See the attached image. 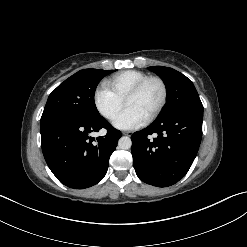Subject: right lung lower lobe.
<instances>
[{
  "mask_svg": "<svg viewBox=\"0 0 247 247\" xmlns=\"http://www.w3.org/2000/svg\"><path fill=\"white\" fill-rule=\"evenodd\" d=\"M107 129L105 136L89 137L91 132ZM42 151L48 167L64 185L83 189L105 176L109 158L121 132L102 116L82 119L56 114L41 118Z\"/></svg>",
  "mask_w": 247,
  "mask_h": 247,
  "instance_id": "obj_1",
  "label": "right lung lower lobe"
}]
</instances>
